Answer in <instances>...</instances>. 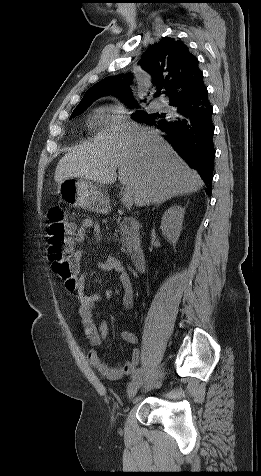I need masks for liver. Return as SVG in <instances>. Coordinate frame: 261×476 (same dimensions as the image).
I'll use <instances>...</instances> for the list:
<instances>
[{"label": "liver", "mask_w": 261, "mask_h": 476, "mask_svg": "<svg viewBox=\"0 0 261 476\" xmlns=\"http://www.w3.org/2000/svg\"><path fill=\"white\" fill-rule=\"evenodd\" d=\"M68 178L100 186L113 184L118 178L132 193L137 207L196 192L204 184L158 130L135 122L112 124L91 142L65 154L57 164L54 180L60 183Z\"/></svg>", "instance_id": "1"}]
</instances>
